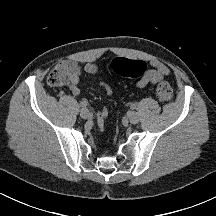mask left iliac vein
Segmentation results:
<instances>
[{
    "instance_id": "left-iliac-vein-1",
    "label": "left iliac vein",
    "mask_w": 216,
    "mask_h": 216,
    "mask_svg": "<svg viewBox=\"0 0 216 216\" xmlns=\"http://www.w3.org/2000/svg\"><path fill=\"white\" fill-rule=\"evenodd\" d=\"M128 120L131 124H137L139 121V116L136 112L132 111L128 114Z\"/></svg>"
}]
</instances>
